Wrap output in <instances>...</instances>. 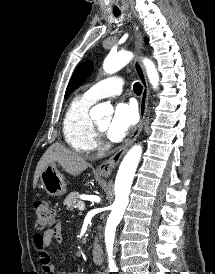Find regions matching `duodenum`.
<instances>
[{
	"label": "duodenum",
	"instance_id": "duodenum-1",
	"mask_svg": "<svg viewBox=\"0 0 215 274\" xmlns=\"http://www.w3.org/2000/svg\"><path fill=\"white\" fill-rule=\"evenodd\" d=\"M92 257L93 261L96 265H101L104 262V253L103 249L101 248L100 245H93L92 247Z\"/></svg>",
	"mask_w": 215,
	"mask_h": 274
}]
</instances>
